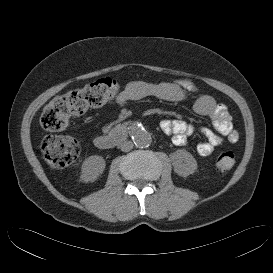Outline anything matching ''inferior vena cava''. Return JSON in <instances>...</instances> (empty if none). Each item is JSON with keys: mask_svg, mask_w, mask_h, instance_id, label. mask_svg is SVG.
Segmentation results:
<instances>
[{"mask_svg": "<svg viewBox=\"0 0 273 273\" xmlns=\"http://www.w3.org/2000/svg\"><path fill=\"white\" fill-rule=\"evenodd\" d=\"M119 146L123 152H128L133 149L134 144L131 141L125 140L121 142Z\"/></svg>", "mask_w": 273, "mask_h": 273, "instance_id": "inferior-vena-cava-1", "label": "inferior vena cava"}]
</instances>
